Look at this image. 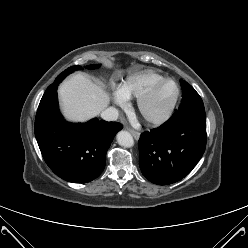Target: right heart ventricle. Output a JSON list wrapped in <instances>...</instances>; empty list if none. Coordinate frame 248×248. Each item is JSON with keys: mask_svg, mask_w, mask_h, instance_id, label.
<instances>
[{"mask_svg": "<svg viewBox=\"0 0 248 248\" xmlns=\"http://www.w3.org/2000/svg\"><path fill=\"white\" fill-rule=\"evenodd\" d=\"M163 79L165 77L155 71L133 74L121 85L120 91L126 98H138Z\"/></svg>", "mask_w": 248, "mask_h": 248, "instance_id": "obj_1", "label": "right heart ventricle"}]
</instances>
